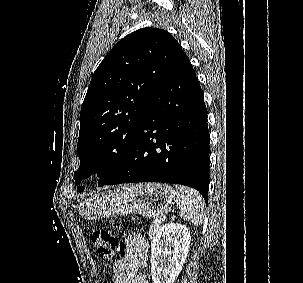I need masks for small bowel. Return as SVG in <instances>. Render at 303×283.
Masks as SVG:
<instances>
[{
	"label": "small bowel",
	"mask_w": 303,
	"mask_h": 283,
	"mask_svg": "<svg viewBox=\"0 0 303 283\" xmlns=\"http://www.w3.org/2000/svg\"><path fill=\"white\" fill-rule=\"evenodd\" d=\"M149 243L139 233L129 234L124 241V254L113 263V283H149L139 273L148 260Z\"/></svg>",
	"instance_id": "obj_1"
}]
</instances>
